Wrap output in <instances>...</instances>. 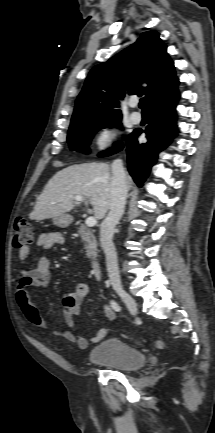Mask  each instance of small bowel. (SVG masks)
Returning a JSON list of instances; mask_svg holds the SVG:
<instances>
[{
  "mask_svg": "<svg viewBox=\"0 0 215 433\" xmlns=\"http://www.w3.org/2000/svg\"><path fill=\"white\" fill-rule=\"evenodd\" d=\"M64 241L65 238L61 232H42L39 234L36 244L44 250H49L56 245L63 244ZM30 254L31 250L27 246L19 250V257L22 260L29 258ZM50 280L51 262L48 256H42L33 268L20 270L15 292L17 304L27 321L43 329H46L48 325L31 302L28 289L29 287H46ZM87 295L88 284L86 282L77 283L73 291L64 295L63 305L65 309L63 311V318L70 329H57L53 331L55 335L65 341L75 343L80 349H86L90 343L99 342L108 331L107 326H104L90 338L75 333V319L80 315V306ZM102 310L108 322L115 319V312L109 305H103Z\"/></svg>",
  "mask_w": 215,
  "mask_h": 433,
  "instance_id": "obj_1",
  "label": "small bowel"
}]
</instances>
